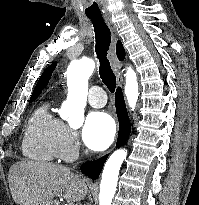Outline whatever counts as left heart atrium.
I'll use <instances>...</instances> for the list:
<instances>
[{
	"instance_id": "1",
	"label": "left heart atrium",
	"mask_w": 199,
	"mask_h": 205,
	"mask_svg": "<svg viewBox=\"0 0 199 205\" xmlns=\"http://www.w3.org/2000/svg\"><path fill=\"white\" fill-rule=\"evenodd\" d=\"M116 125L106 112L95 111L88 114L82 129V138L87 147L100 151L106 149L114 140Z\"/></svg>"
}]
</instances>
